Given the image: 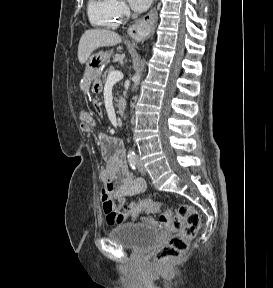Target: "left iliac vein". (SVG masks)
Returning a JSON list of instances; mask_svg holds the SVG:
<instances>
[{"label": "left iliac vein", "mask_w": 273, "mask_h": 288, "mask_svg": "<svg viewBox=\"0 0 273 288\" xmlns=\"http://www.w3.org/2000/svg\"><path fill=\"white\" fill-rule=\"evenodd\" d=\"M137 162H138V170L140 173L145 174L146 173V168L143 166L141 160L139 157H137Z\"/></svg>", "instance_id": "1"}]
</instances>
